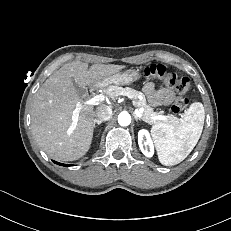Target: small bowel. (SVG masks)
<instances>
[{
	"instance_id": "small-bowel-1",
	"label": "small bowel",
	"mask_w": 231,
	"mask_h": 231,
	"mask_svg": "<svg viewBox=\"0 0 231 231\" xmlns=\"http://www.w3.org/2000/svg\"><path fill=\"white\" fill-rule=\"evenodd\" d=\"M143 91L147 96L149 102L156 106H168L175 99V93L173 90L165 87L156 89L153 83H147L144 86Z\"/></svg>"
}]
</instances>
